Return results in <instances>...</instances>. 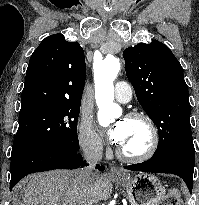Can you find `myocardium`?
<instances>
[{"instance_id":"obj_1","label":"myocardium","mask_w":199,"mask_h":205,"mask_svg":"<svg viewBox=\"0 0 199 205\" xmlns=\"http://www.w3.org/2000/svg\"><path fill=\"white\" fill-rule=\"evenodd\" d=\"M126 119L143 121L149 130V142L145 150L137 154H129L118 146L116 150L117 156L131 163L143 162L150 159L156 153L160 143V133L156 122L150 115L141 111L130 112L127 114Z\"/></svg>"}]
</instances>
